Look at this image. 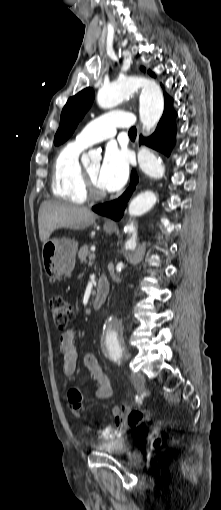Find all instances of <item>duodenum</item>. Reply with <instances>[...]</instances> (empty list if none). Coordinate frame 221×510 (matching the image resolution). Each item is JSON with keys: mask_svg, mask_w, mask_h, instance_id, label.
<instances>
[{"mask_svg": "<svg viewBox=\"0 0 221 510\" xmlns=\"http://www.w3.org/2000/svg\"><path fill=\"white\" fill-rule=\"evenodd\" d=\"M107 294H108V282L103 276H100L97 282L95 294L91 302L92 308L94 309L99 308L104 303Z\"/></svg>", "mask_w": 221, "mask_h": 510, "instance_id": "410a0bca", "label": "duodenum"}]
</instances>
